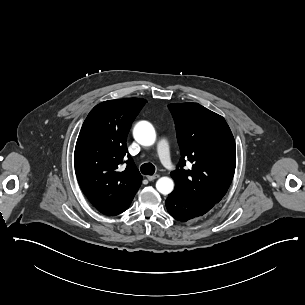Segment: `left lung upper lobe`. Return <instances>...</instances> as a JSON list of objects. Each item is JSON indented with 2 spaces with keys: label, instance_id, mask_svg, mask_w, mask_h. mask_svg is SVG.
<instances>
[{
  "label": "left lung upper lobe",
  "instance_id": "5c2ea615",
  "mask_svg": "<svg viewBox=\"0 0 305 305\" xmlns=\"http://www.w3.org/2000/svg\"><path fill=\"white\" fill-rule=\"evenodd\" d=\"M175 121L181 158L171 172L174 192L198 202L216 204L226 194L236 166L235 140L225 119L197 103L168 105ZM186 161L192 169L186 170Z\"/></svg>",
  "mask_w": 305,
  "mask_h": 305
}]
</instances>
